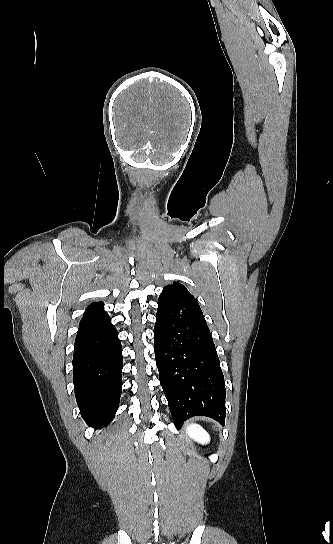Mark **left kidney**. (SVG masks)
Returning a JSON list of instances; mask_svg holds the SVG:
<instances>
[{
    "instance_id": "left-kidney-1",
    "label": "left kidney",
    "mask_w": 333,
    "mask_h": 544,
    "mask_svg": "<svg viewBox=\"0 0 333 544\" xmlns=\"http://www.w3.org/2000/svg\"><path fill=\"white\" fill-rule=\"evenodd\" d=\"M187 433L191 438L205 444L210 441V435L198 424H191L187 427Z\"/></svg>"
}]
</instances>
